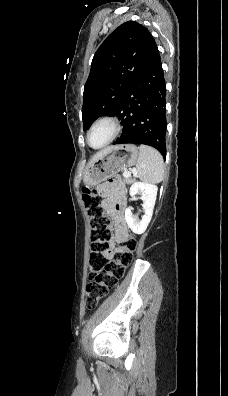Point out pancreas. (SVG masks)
Returning <instances> with one entry per match:
<instances>
[{
  "label": "pancreas",
  "mask_w": 228,
  "mask_h": 396,
  "mask_svg": "<svg viewBox=\"0 0 228 396\" xmlns=\"http://www.w3.org/2000/svg\"><path fill=\"white\" fill-rule=\"evenodd\" d=\"M123 176H124V173H123ZM133 181H134V179H132L130 176H124V182L126 184H131V183H133Z\"/></svg>",
  "instance_id": "obj_1"
}]
</instances>
